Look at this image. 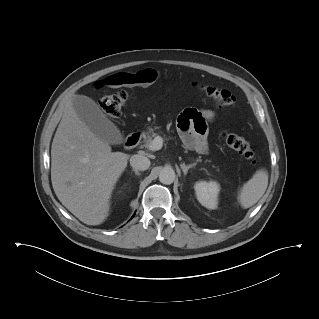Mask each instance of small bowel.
<instances>
[{
    "label": "small bowel",
    "mask_w": 319,
    "mask_h": 319,
    "mask_svg": "<svg viewBox=\"0 0 319 319\" xmlns=\"http://www.w3.org/2000/svg\"><path fill=\"white\" fill-rule=\"evenodd\" d=\"M129 78V86L149 87L157 79V73L153 69H144L136 74L123 75ZM107 85L117 86L116 75L107 80ZM216 114L212 110H196L188 108L183 111L178 119V129L181 139L186 147L200 154L208 152L207 132L208 123L212 122Z\"/></svg>",
    "instance_id": "c3829d8e"
}]
</instances>
